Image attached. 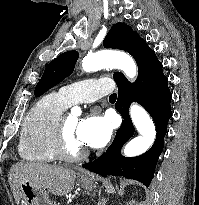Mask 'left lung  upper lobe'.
<instances>
[{
  "label": "left lung upper lobe",
  "instance_id": "5c2ea615",
  "mask_svg": "<svg viewBox=\"0 0 199 205\" xmlns=\"http://www.w3.org/2000/svg\"><path fill=\"white\" fill-rule=\"evenodd\" d=\"M137 35V32L125 23H116L106 35L103 45L105 48L127 51ZM78 57L79 53L77 51H67L51 61L36 85L34 95L36 97L41 96L69 76L74 70ZM119 74V72H115L113 77L116 78Z\"/></svg>",
  "mask_w": 199,
  "mask_h": 205
}]
</instances>
